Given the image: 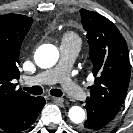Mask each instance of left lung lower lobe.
<instances>
[{
    "instance_id": "1",
    "label": "left lung lower lobe",
    "mask_w": 133,
    "mask_h": 133,
    "mask_svg": "<svg viewBox=\"0 0 133 133\" xmlns=\"http://www.w3.org/2000/svg\"><path fill=\"white\" fill-rule=\"evenodd\" d=\"M85 108L87 109L88 118L84 124L80 126L83 133L102 130L118 113V110L106 108L105 106L92 101H86Z\"/></svg>"
}]
</instances>
